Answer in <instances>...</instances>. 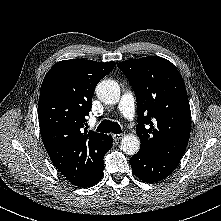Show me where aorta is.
<instances>
[{"instance_id":"aorta-1","label":"aorta","mask_w":221,"mask_h":221,"mask_svg":"<svg viewBox=\"0 0 221 221\" xmlns=\"http://www.w3.org/2000/svg\"><path fill=\"white\" fill-rule=\"evenodd\" d=\"M120 86L111 79L102 80L96 86V95L98 99L105 104H116L120 99ZM140 140L136 135H125L121 140V149L128 155H134L139 151Z\"/></svg>"}]
</instances>
